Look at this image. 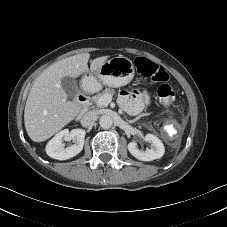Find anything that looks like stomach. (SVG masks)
I'll use <instances>...</instances> for the list:
<instances>
[{"label": "stomach", "instance_id": "0dacf381", "mask_svg": "<svg viewBox=\"0 0 227 227\" xmlns=\"http://www.w3.org/2000/svg\"><path fill=\"white\" fill-rule=\"evenodd\" d=\"M135 74L133 62L122 55L105 61L97 70L85 73L84 80H98L109 87H121L131 82Z\"/></svg>", "mask_w": 227, "mask_h": 227}]
</instances>
